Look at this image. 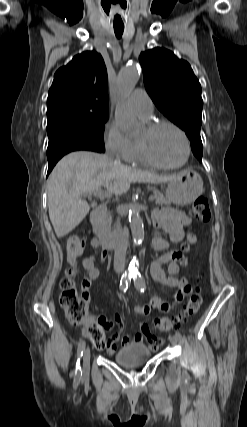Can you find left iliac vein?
I'll return each instance as SVG.
<instances>
[{
  "label": "left iliac vein",
  "instance_id": "1",
  "mask_svg": "<svg viewBox=\"0 0 247 427\" xmlns=\"http://www.w3.org/2000/svg\"><path fill=\"white\" fill-rule=\"evenodd\" d=\"M169 340L173 345H176L179 341V338L176 335H173L169 337Z\"/></svg>",
  "mask_w": 247,
  "mask_h": 427
}]
</instances>
